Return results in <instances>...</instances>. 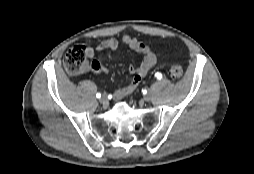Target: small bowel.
<instances>
[{
	"label": "small bowel",
	"mask_w": 254,
	"mask_h": 174,
	"mask_svg": "<svg viewBox=\"0 0 254 174\" xmlns=\"http://www.w3.org/2000/svg\"><path fill=\"white\" fill-rule=\"evenodd\" d=\"M121 42L140 53L143 56V60L139 66L130 65L129 72L133 77L128 84L115 90L114 97L117 100H120L125 96L131 94L157 62V57L152 52V50L137 38L131 37L129 35H124L121 39ZM118 46L119 41L117 39L109 38L102 41L97 46L88 47L87 55L89 58H94L98 52L104 50H115L118 48ZM89 69L98 75L108 74V69L104 63L98 60L91 61Z\"/></svg>",
	"instance_id": "1"
}]
</instances>
